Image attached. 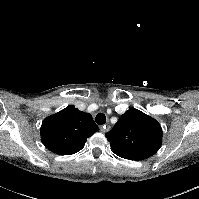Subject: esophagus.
Wrapping results in <instances>:
<instances>
[{
  "label": "esophagus",
  "instance_id": "1",
  "mask_svg": "<svg viewBox=\"0 0 199 199\" xmlns=\"http://www.w3.org/2000/svg\"><path fill=\"white\" fill-rule=\"evenodd\" d=\"M101 132L106 133L110 130V126L109 125H102L100 127Z\"/></svg>",
  "mask_w": 199,
  "mask_h": 199
}]
</instances>
